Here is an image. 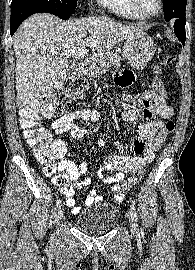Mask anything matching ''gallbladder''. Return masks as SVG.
<instances>
[{
	"label": "gallbladder",
	"instance_id": "gallbladder-1",
	"mask_svg": "<svg viewBox=\"0 0 195 270\" xmlns=\"http://www.w3.org/2000/svg\"><path fill=\"white\" fill-rule=\"evenodd\" d=\"M70 74H74V70H70Z\"/></svg>",
	"mask_w": 195,
	"mask_h": 270
}]
</instances>
